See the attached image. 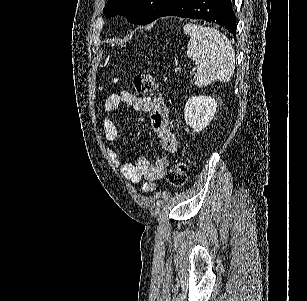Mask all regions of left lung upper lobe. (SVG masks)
Segmentation results:
<instances>
[{"instance_id": "obj_1", "label": "left lung upper lobe", "mask_w": 307, "mask_h": 301, "mask_svg": "<svg viewBox=\"0 0 307 301\" xmlns=\"http://www.w3.org/2000/svg\"><path fill=\"white\" fill-rule=\"evenodd\" d=\"M175 0H108L104 14L124 15L130 23L145 25L157 19Z\"/></svg>"}]
</instances>
